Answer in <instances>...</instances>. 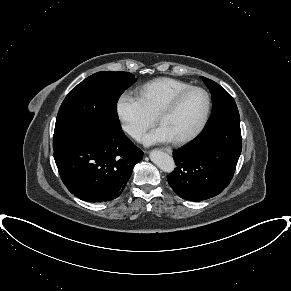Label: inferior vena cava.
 <instances>
[{
  "label": "inferior vena cava",
  "mask_w": 291,
  "mask_h": 291,
  "mask_svg": "<svg viewBox=\"0 0 291 291\" xmlns=\"http://www.w3.org/2000/svg\"><path fill=\"white\" fill-rule=\"evenodd\" d=\"M128 133L134 138H140L143 131L137 127H129Z\"/></svg>",
  "instance_id": "1"
}]
</instances>
